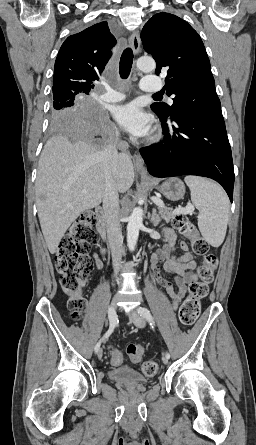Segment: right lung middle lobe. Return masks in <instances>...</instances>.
<instances>
[{
    "mask_svg": "<svg viewBox=\"0 0 256 445\" xmlns=\"http://www.w3.org/2000/svg\"><path fill=\"white\" fill-rule=\"evenodd\" d=\"M87 93L68 91L60 95H53V109L51 113V128L53 130L70 129L81 117L87 98ZM73 135V132H72Z\"/></svg>",
    "mask_w": 256,
    "mask_h": 445,
    "instance_id": "1",
    "label": "right lung middle lobe"
}]
</instances>
